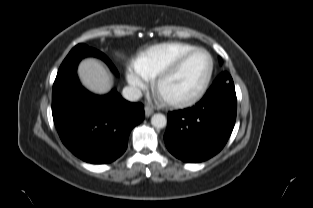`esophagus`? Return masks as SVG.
Instances as JSON below:
<instances>
[{
  "instance_id": "1",
  "label": "esophagus",
  "mask_w": 313,
  "mask_h": 208,
  "mask_svg": "<svg viewBox=\"0 0 313 208\" xmlns=\"http://www.w3.org/2000/svg\"><path fill=\"white\" fill-rule=\"evenodd\" d=\"M144 111H145V116L146 117H149V116H151L154 113V109L152 107H150V106H146Z\"/></svg>"
}]
</instances>
